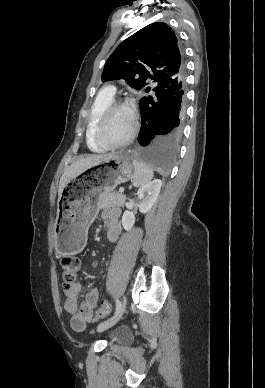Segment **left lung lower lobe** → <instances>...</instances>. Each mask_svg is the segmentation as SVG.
Masks as SVG:
<instances>
[{
  "label": "left lung lower lobe",
  "mask_w": 265,
  "mask_h": 388,
  "mask_svg": "<svg viewBox=\"0 0 265 388\" xmlns=\"http://www.w3.org/2000/svg\"><path fill=\"white\" fill-rule=\"evenodd\" d=\"M185 71L154 88L139 101L141 129L136 154L163 171L170 170L178 149L185 116Z\"/></svg>",
  "instance_id": "0a47b994"
}]
</instances>
